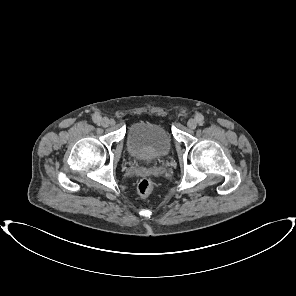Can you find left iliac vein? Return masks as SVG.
Wrapping results in <instances>:
<instances>
[{"mask_svg":"<svg viewBox=\"0 0 296 296\" xmlns=\"http://www.w3.org/2000/svg\"><path fill=\"white\" fill-rule=\"evenodd\" d=\"M188 128L195 129L197 126V121L195 119H190L187 123Z\"/></svg>","mask_w":296,"mask_h":296,"instance_id":"1","label":"left iliac vein"}]
</instances>
